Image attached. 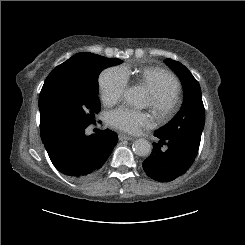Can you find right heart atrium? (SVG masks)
Here are the masks:
<instances>
[{"label":"right heart atrium","mask_w":245,"mask_h":245,"mask_svg":"<svg viewBox=\"0 0 245 245\" xmlns=\"http://www.w3.org/2000/svg\"><path fill=\"white\" fill-rule=\"evenodd\" d=\"M98 84L103 102L114 103L125 92L128 78L122 67L113 66L101 72Z\"/></svg>","instance_id":"1"}]
</instances>
